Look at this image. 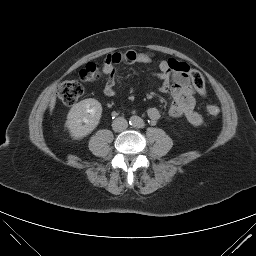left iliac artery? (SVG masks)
Wrapping results in <instances>:
<instances>
[{
  "label": "left iliac artery",
  "instance_id": "left-iliac-artery-1",
  "mask_svg": "<svg viewBox=\"0 0 256 256\" xmlns=\"http://www.w3.org/2000/svg\"><path fill=\"white\" fill-rule=\"evenodd\" d=\"M138 127H139V128H143V127H144L143 121H140V122H139Z\"/></svg>",
  "mask_w": 256,
  "mask_h": 256
}]
</instances>
